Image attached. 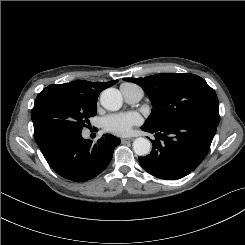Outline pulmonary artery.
I'll return each instance as SVG.
<instances>
[{
	"label": "pulmonary artery",
	"mask_w": 245,
	"mask_h": 245,
	"mask_svg": "<svg viewBox=\"0 0 245 245\" xmlns=\"http://www.w3.org/2000/svg\"><path fill=\"white\" fill-rule=\"evenodd\" d=\"M121 92L123 94L125 101L128 103H136L143 96L142 89L136 85L121 87Z\"/></svg>",
	"instance_id": "e3ab8cb5"
}]
</instances>
